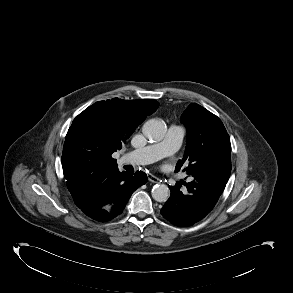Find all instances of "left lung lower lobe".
I'll use <instances>...</instances> for the list:
<instances>
[{"mask_svg": "<svg viewBox=\"0 0 293 293\" xmlns=\"http://www.w3.org/2000/svg\"><path fill=\"white\" fill-rule=\"evenodd\" d=\"M226 183L199 175L186 184V189H182V185L177 182L175 186H169L171 195L160 213L174 225H193L213 209Z\"/></svg>", "mask_w": 293, "mask_h": 293, "instance_id": "0a47b994", "label": "left lung lower lobe"}]
</instances>
